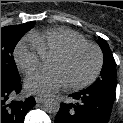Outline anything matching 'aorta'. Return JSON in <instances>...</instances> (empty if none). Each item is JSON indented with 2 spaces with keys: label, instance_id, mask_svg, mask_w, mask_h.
Masks as SVG:
<instances>
[{
  "label": "aorta",
  "instance_id": "762f6f07",
  "mask_svg": "<svg viewBox=\"0 0 123 123\" xmlns=\"http://www.w3.org/2000/svg\"><path fill=\"white\" fill-rule=\"evenodd\" d=\"M59 107H60L59 102L54 98H49L44 102V110L47 113L50 114L57 113L59 111Z\"/></svg>",
  "mask_w": 123,
  "mask_h": 123
}]
</instances>
